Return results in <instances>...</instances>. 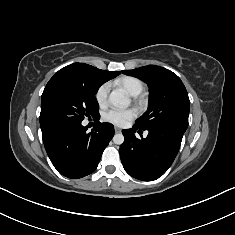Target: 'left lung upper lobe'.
<instances>
[{"label":"left lung upper lobe","instance_id":"5c2ea615","mask_svg":"<svg viewBox=\"0 0 235 235\" xmlns=\"http://www.w3.org/2000/svg\"><path fill=\"white\" fill-rule=\"evenodd\" d=\"M122 73L141 79L149 87L148 109L134 126L143 130L170 127L186 131L190 101L184 84L175 73L155 65Z\"/></svg>","mask_w":235,"mask_h":235}]
</instances>
